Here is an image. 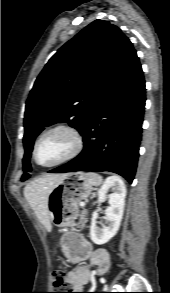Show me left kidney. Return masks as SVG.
Listing matches in <instances>:
<instances>
[{
    "instance_id": "obj_1",
    "label": "left kidney",
    "mask_w": 170,
    "mask_h": 293,
    "mask_svg": "<svg viewBox=\"0 0 170 293\" xmlns=\"http://www.w3.org/2000/svg\"><path fill=\"white\" fill-rule=\"evenodd\" d=\"M113 193L107 195L109 190ZM126 187L124 182L117 176H111L106 179L98 191V203H102L109 198L110 206L106 209L105 215L107 225L99 228L97 226L98 210L92 215L90 226V238L93 243L102 245L114 237L120 227L125 205Z\"/></svg>"
}]
</instances>
